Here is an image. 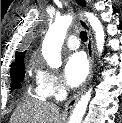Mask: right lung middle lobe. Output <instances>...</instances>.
<instances>
[{"mask_svg": "<svg viewBox=\"0 0 122 123\" xmlns=\"http://www.w3.org/2000/svg\"><path fill=\"white\" fill-rule=\"evenodd\" d=\"M25 74V66L24 63H21L19 66L14 67L10 70L11 75V87L12 89L21 88L20 83L22 82Z\"/></svg>", "mask_w": 122, "mask_h": 123, "instance_id": "obj_1", "label": "right lung middle lobe"}]
</instances>
